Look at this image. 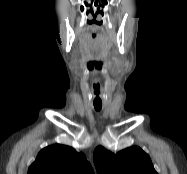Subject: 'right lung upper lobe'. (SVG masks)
Segmentation results:
<instances>
[{"label":"right lung upper lobe","mask_w":187,"mask_h":174,"mask_svg":"<svg viewBox=\"0 0 187 174\" xmlns=\"http://www.w3.org/2000/svg\"><path fill=\"white\" fill-rule=\"evenodd\" d=\"M28 174H94V171L83 153L56 144L40 151Z\"/></svg>","instance_id":"1"}]
</instances>
